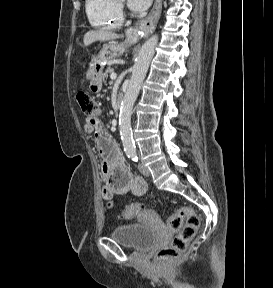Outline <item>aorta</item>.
<instances>
[{
	"mask_svg": "<svg viewBox=\"0 0 273 288\" xmlns=\"http://www.w3.org/2000/svg\"><path fill=\"white\" fill-rule=\"evenodd\" d=\"M158 36L150 37L140 48L136 62L132 69V75L128 89L121 103L119 115V128L124 151L127 155H135L136 149L131 130V114L136 98L139 94L142 82L149 68V64L155 53Z\"/></svg>",
	"mask_w": 273,
	"mask_h": 288,
	"instance_id": "1",
	"label": "aorta"
}]
</instances>
